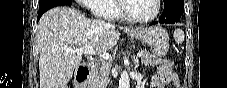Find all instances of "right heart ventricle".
I'll return each instance as SVG.
<instances>
[{
	"label": "right heart ventricle",
	"instance_id": "obj_1",
	"mask_svg": "<svg viewBox=\"0 0 227 88\" xmlns=\"http://www.w3.org/2000/svg\"><path fill=\"white\" fill-rule=\"evenodd\" d=\"M119 0H98L94 4L93 11L100 18H119L120 13L117 9Z\"/></svg>",
	"mask_w": 227,
	"mask_h": 88
}]
</instances>
